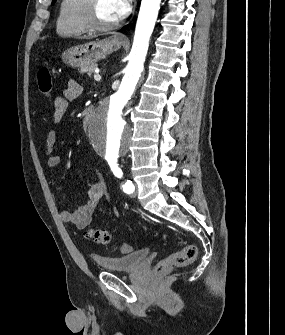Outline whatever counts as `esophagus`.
I'll return each mask as SVG.
<instances>
[{
	"label": "esophagus",
	"mask_w": 285,
	"mask_h": 335,
	"mask_svg": "<svg viewBox=\"0 0 285 335\" xmlns=\"http://www.w3.org/2000/svg\"><path fill=\"white\" fill-rule=\"evenodd\" d=\"M117 38L121 39V40H126V37L125 35H120V36H117Z\"/></svg>",
	"instance_id": "34e87169"
}]
</instances>
